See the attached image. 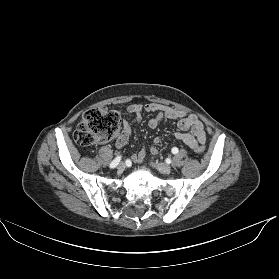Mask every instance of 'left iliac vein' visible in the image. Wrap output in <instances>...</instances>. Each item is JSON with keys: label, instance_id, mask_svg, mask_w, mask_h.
Listing matches in <instances>:
<instances>
[{"label": "left iliac vein", "instance_id": "obj_1", "mask_svg": "<svg viewBox=\"0 0 279 279\" xmlns=\"http://www.w3.org/2000/svg\"><path fill=\"white\" fill-rule=\"evenodd\" d=\"M152 164L157 168L158 171H160L161 173H164V174H168L172 170L170 165L162 163V162H153Z\"/></svg>", "mask_w": 279, "mask_h": 279}]
</instances>
